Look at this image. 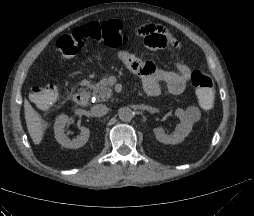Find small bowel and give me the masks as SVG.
Here are the masks:
<instances>
[{
    "instance_id": "small-bowel-1",
    "label": "small bowel",
    "mask_w": 254,
    "mask_h": 216,
    "mask_svg": "<svg viewBox=\"0 0 254 216\" xmlns=\"http://www.w3.org/2000/svg\"><path fill=\"white\" fill-rule=\"evenodd\" d=\"M140 35L153 51H171L177 46L169 31L147 26L140 29ZM116 59L131 71L141 75L144 89L151 96H158L165 84L171 95H180L190 79V69L183 61L172 69L156 68L152 62L142 61L127 51H119Z\"/></svg>"
}]
</instances>
